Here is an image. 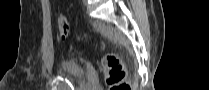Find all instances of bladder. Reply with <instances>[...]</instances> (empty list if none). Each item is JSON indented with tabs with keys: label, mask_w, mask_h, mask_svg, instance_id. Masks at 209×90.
<instances>
[{
	"label": "bladder",
	"mask_w": 209,
	"mask_h": 90,
	"mask_svg": "<svg viewBox=\"0 0 209 90\" xmlns=\"http://www.w3.org/2000/svg\"><path fill=\"white\" fill-rule=\"evenodd\" d=\"M62 76L76 81L86 80L85 70L81 63L63 61L61 63Z\"/></svg>",
	"instance_id": "obj_1"
}]
</instances>
